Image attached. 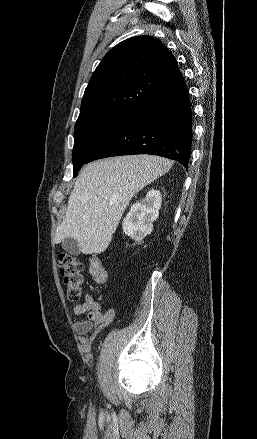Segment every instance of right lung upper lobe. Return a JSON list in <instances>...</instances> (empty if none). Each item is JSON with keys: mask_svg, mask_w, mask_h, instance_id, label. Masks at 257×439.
I'll return each mask as SVG.
<instances>
[{"mask_svg": "<svg viewBox=\"0 0 257 439\" xmlns=\"http://www.w3.org/2000/svg\"><path fill=\"white\" fill-rule=\"evenodd\" d=\"M183 81L174 56L160 40L145 35L127 39L97 66L79 116L101 112L131 115Z\"/></svg>", "mask_w": 257, "mask_h": 439, "instance_id": "right-lung-upper-lobe-1", "label": "right lung upper lobe"}]
</instances>
